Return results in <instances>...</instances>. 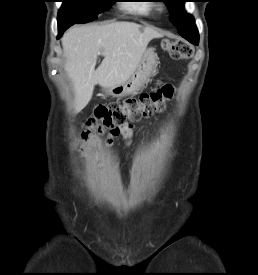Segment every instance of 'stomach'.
<instances>
[{"label":"stomach","mask_w":258,"mask_h":275,"mask_svg":"<svg viewBox=\"0 0 258 275\" xmlns=\"http://www.w3.org/2000/svg\"><path fill=\"white\" fill-rule=\"evenodd\" d=\"M156 64L157 55L154 49H147L133 74L125 82L112 88H105L103 93L109 96L122 97L139 92L155 70Z\"/></svg>","instance_id":"1"}]
</instances>
